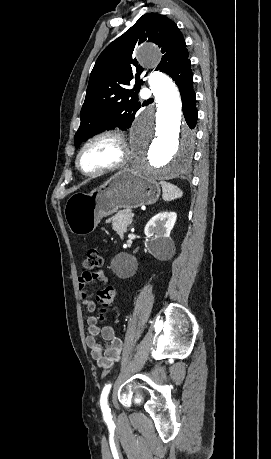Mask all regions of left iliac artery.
<instances>
[{
	"mask_svg": "<svg viewBox=\"0 0 271 459\" xmlns=\"http://www.w3.org/2000/svg\"><path fill=\"white\" fill-rule=\"evenodd\" d=\"M110 388H111V384L106 385L101 393V398H100V405H101V410L103 412V416L108 417V418H111V409L109 408L108 403H107V397H108Z\"/></svg>",
	"mask_w": 271,
	"mask_h": 459,
	"instance_id": "1",
	"label": "left iliac artery"
}]
</instances>
